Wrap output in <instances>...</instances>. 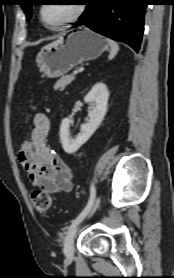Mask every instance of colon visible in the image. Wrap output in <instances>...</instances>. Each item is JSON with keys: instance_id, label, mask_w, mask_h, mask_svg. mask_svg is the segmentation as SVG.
<instances>
[{"instance_id": "colon-1", "label": "colon", "mask_w": 174, "mask_h": 278, "mask_svg": "<svg viewBox=\"0 0 174 278\" xmlns=\"http://www.w3.org/2000/svg\"><path fill=\"white\" fill-rule=\"evenodd\" d=\"M33 149V140L31 136L23 139L19 145L18 153L26 154ZM31 200L34 208L40 213H46L51 207L50 195L42 190H35L31 194Z\"/></svg>"}]
</instances>
